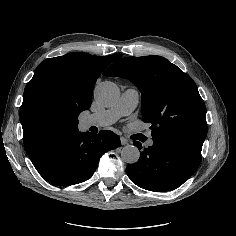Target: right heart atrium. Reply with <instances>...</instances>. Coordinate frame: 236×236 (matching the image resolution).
<instances>
[{
	"mask_svg": "<svg viewBox=\"0 0 236 236\" xmlns=\"http://www.w3.org/2000/svg\"><path fill=\"white\" fill-rule=\"evenodd\" d=\"M97 87H98V86H97ZM97 87H96L95 90H94V94H95V96H96Z\"/></svg>",
	"mask_w": 236,
	"mask_h": 236,
	"instance_id": "obj_1",
	"label": "right heart atrium"
}]
</instances>
